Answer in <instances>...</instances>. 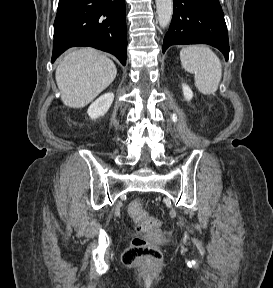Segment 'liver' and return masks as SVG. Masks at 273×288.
Returning a JSON list of instances; mask_svg holds the SVG:
<instances>
[{"instance_id":"obj_1","label":"liver","mask_w":273,"mask_h":288,"mask_svg":"<svg viewBox=\"0 0 273 288\" xmlns=\"http://www.w3.org/2000/svg\"><path fill=\"white\" fill-rule=\"evenodd\" d=\"M116 74L112 60L95 49L82 48L61 60L55 78L62 102L71 108H82L105 90Z\"/></svg>"}]
</instances>
